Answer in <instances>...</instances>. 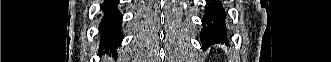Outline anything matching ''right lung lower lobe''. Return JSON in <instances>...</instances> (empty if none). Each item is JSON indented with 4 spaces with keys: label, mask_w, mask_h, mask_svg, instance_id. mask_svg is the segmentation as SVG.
Here are the masks:
<instances>
[{
    "label": "right lung lower lobe",
    "mask_w": 331,
    "mask_h": 62,
    "mask_svg": "<svg viewBox=\"0 0 331 62\" xmlns=\"http://www.w3.org/2000/svg\"><path fill=\"white\" fill-rule=\"evenodd\" d=\"M119 0H105L101 8L104 16L101 19L99 29L101 31V43L99 50L114 51L121 44L122 33L120 23L123 18L117 8Z\"/></svg>",
    "instance_id": "1"
}]
</instances>
